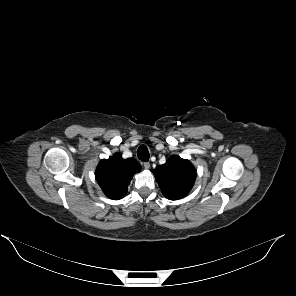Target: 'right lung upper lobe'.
<instances>
[{
	"mask_svg": "<svg viewBox=\"0 0 296 296\" xmlns=\"http://www.w3.org/2000/svg\"><path fill=\"white\" fill-rule=\"evenodd\" d=\"M141 171L140 164L133 158L122 159L116 153L112 159H102L95 171L96 180L103 192L118 200L126 195L133 175Z\"/></svg>",
	"mask_w": 296,
	"mask_h": 296,
	"instance_id": "1",
	"label": "right lung upper lobe"
}]
</instances>
